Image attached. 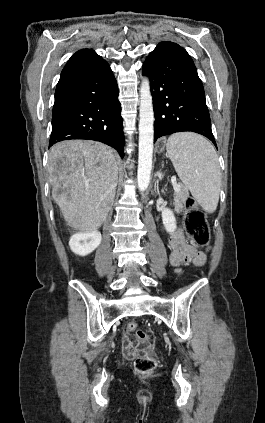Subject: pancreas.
Instances as JSON below:
<instances>
[{"label":"pancreas","mask_w":265,"mask_h":423,"mask_svg":"<svg viewBox=\"0 0 265 423\" xmlns=\"http://www.w3.org/2000/svg\"><path fill=\"white\" fill-rule=\"evenodd\" d=\"M178 187H179V191H175L174 193V204H175L176 210L180 211L183 209L185 201L188 197V191L181 184H179Z\"/></svg>","instance_id":"obj_1"}]
</instances>
